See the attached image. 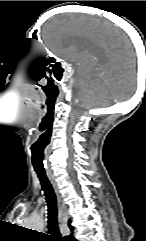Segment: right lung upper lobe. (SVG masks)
I'll return each instance as SVG.
<instances>
[{"label": "right lung upper lobe", "instance_id": "1", "mask_svg": "<svg viewBox=\"0 0 146 241\" xmlns=\"http://www.w3.org/2000/svg\"><path fill=\"white\" fill-rule=\"evenodd\" d=\"M70 229H73V227L70 226ZM63 241H76V240H75V238L72 235H70V236H65L63 238Z\"/></svg>", "mask_w": 146, "mask_h": 241}]
</instances>
